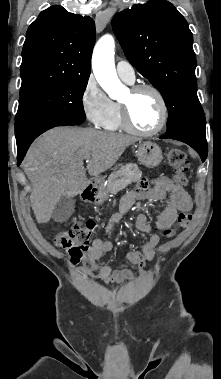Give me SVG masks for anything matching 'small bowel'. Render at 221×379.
<instances>
[{"instance_id": "c3829d8e", "label": "small bowel", "mask_w": 221, "mask_h": 379, "mask_svg": "<svg viewBox=\"0 0 221 379\" xmlns=\"http://www.w3.org/2000/svg\"><path fill=\"white\" fill-rule=\"evenodd\" d=\"M151 199L155 201L166 199L164 208L159 212L155 225L152 226L145 214L137 216L135 226L137 230L148 233L149 238L143 243L140 250H132L124 254L127 265L121 269L113 270L112 263L118 260L115 256L112 263L100 265L98 260L105 254L113 251L112 243L107 237L122 221L125 214L131 209L136 200ZM192 200L188 192L178 186L171 178L161 176L152 180H141L135 188L126 193L120 201L119 211L114 213L102 226L104 237L96 236L87 255L83 274L91 279L99 280L105 284L120 285L124 281H132L134 274L130 267L136 266L141 272L148 261L155 258L156 249L160 243L159 231L170 228L179 213L189 212Z\"/></svg>"}]
</instances>
